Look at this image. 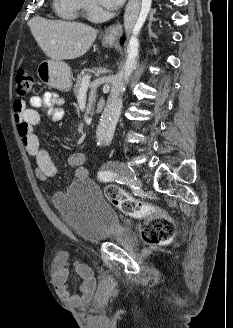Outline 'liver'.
Masks as SVG:
<instances>
[{
	"label": "liver",
	"mask_w": 233,
	"mask_h": 328,
	"mask_svg": "<svg viewBox=\"0 0 233 328\" xmlns=\"http://www.w3.org/2000/svg\"><path fill=\"white\" fill-rule=\"evenodd\" d=\"M30 28L41 50L56 61L84 55L97 37V30L78 22L36 17Z\"/></svg>",
	"instance_id": "liver-1"
}]
</instances>
